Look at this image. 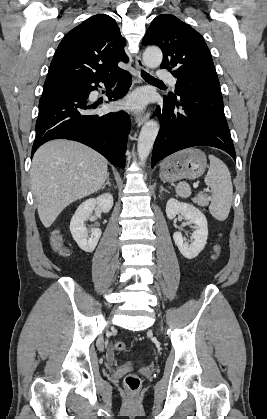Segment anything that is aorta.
<instances>
[{
  "label": "aorta",
  "mask_w": 267,
  "mask_h": 419,
  "mask_svg": "<svg viewBox=\"0 0 267 419\" xmlns=\"http://www.w3.org/2000/svg\"><path fill=\"white\" fill-rule=\"evenodd\" d=\"M162 52L157 47L147 48L143 54V62L149 68H157L162 62ZM159 131V124L154 120H149L143 125L137 144L140 165H144L153 147L154 141Z\"/></svg>",
  "instance_id": "762f6f07"
}]
</instances>
